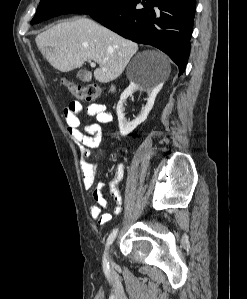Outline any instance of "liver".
<instances>
[{
  "mask_svg": "<svg viewBox=\"0 0 247 299\" xmlns=\"http://www.w3.org/2000/svg\"><path fill=\"white\" fill-rule=\"evenodd\" d=\"M36 44L42 55L55 69L69 72L83 66L86 60L99 64L94 78L108 83L119 77L138 45L95 21L78 17L59 23L37 35ZM163 69V80L170 74L166 56L154 52Z\"/></svg>",
  "mask_w": 247,
  "mask_h": 299,
  "instance_id": "1",
  "label": "liver"
}]
</instances>
